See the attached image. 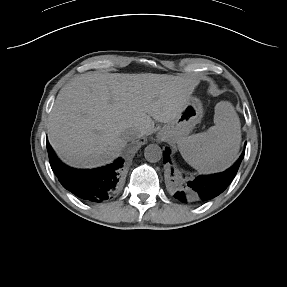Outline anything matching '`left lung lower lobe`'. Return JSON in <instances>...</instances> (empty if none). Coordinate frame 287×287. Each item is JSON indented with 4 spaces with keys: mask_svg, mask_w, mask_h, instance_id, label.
Wrapping results in <instances>:
<instances>
[{
    "mask_svg": "<svg viewBox=\"0 0 287 287\" xmlns=\"http://www.w3.org/2000/svg\"><path fill=\"white\" fill-rule=\"evenodd\" d=\"M244 154L245 151L232 167L222 173L210 176H198L183 185L171 183L170 192L176 199L184 203H199L216 197L227 188L235 177ZM168 160L169 150L166 149L163 162L166 163Z\"/></svg>",
    "mask_w": 287,
    "mask_h": 287,
    "instance_id": "1",
    "label": "left lung lower lobe"
}]
</instances>
